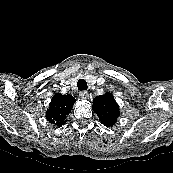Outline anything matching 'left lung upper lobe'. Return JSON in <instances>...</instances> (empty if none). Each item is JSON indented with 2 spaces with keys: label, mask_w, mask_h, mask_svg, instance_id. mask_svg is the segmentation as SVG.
Wrapping results in <instances>:
<instances>
[{
  "label": "left lung upper lobe",
  "mask_w": 173,
  "mask_h": 173,
  "mask_svg": "<svg viewBox=\"0 0 173 173\" xmlns=\"http://www.w3.org/2000/svg\"><path fill=\"white\" fill-rule=\"evenodd\" d=\"M92 108L101 123L107 127L113 126L120 115L119 106L111 93L97 96L93 101Z\"/></svg>",
  "instance_id": "left-lung-upper-lobe-1"
}]
</instances>
